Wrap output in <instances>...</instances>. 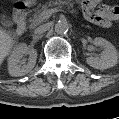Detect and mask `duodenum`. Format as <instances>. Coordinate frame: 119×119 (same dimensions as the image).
<instances>
[{"instance_id":"duodenum-1","label":"duodenum","mask_w":119,"mask_h":119,"mask_svg":"<svg viewBox=\"0 0 119 119\" xmlns=\"http://www.w3.org/2000/svg\"><path fill=\"white\" fill-rule=\"evenodd\" d=\"M26 17H27V8L24 4H18L15 13H14V19L17 24V33L19 35H22L27 28L26 24Z\"/></svg>"}]
</instances>
